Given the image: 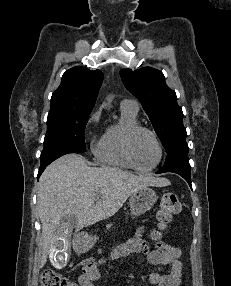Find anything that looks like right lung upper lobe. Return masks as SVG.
<instances>
[{"label": "right lung upper lobe", "mask_w": 231, "mask_h": 286, "mask_svg": "<svg viewBox=\"0 0 231 286\" xmlns=\"http://www.w3.org/2000/svg\"><path fill=\"white\" fill-rule=\"evenodd\" d=\"M102 80L100 70L90 71L82 66L67 70L52 94L50 110H92Z\"/></svg>", "instance_id": "right-lung-upper-lobe-1"}]
</instances>
